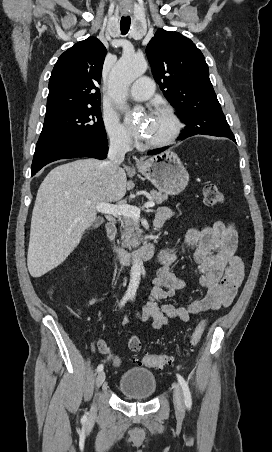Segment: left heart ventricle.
I'll return each instance as SVG.
<instances>
[{"label":"left heart ventricle","mask_w":272,"mask_h":452,"mask_svg":"<svg viewBox=\"0 0 272 452\" xmlns=\"http://www.w3.org/2000/svg\"><path fill=\"white\" fill-rule=\"evenodd\" d=\"M171 130V123L168 118L161 114L156 113L148 125L147 134L145 136L146 141H157L163 139L168 135Z\"/></svg>","instance_id":"obj_1"}]
</instances>
